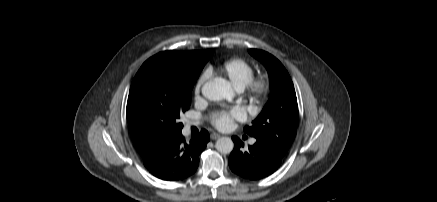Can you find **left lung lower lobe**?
<instances>
[{"instance_id":"left-lung-lower-lobe-1","label":"left lung lower lobe","mask_w":437,"mask_h":202,"mask_svg":"<svg viewBox=\"0 0 437 202\" xmlns=\"http://www.w3.org/2000/svg\"><path fill=\"white\" fill-rule=\"evenodd\" d=\"M234 149L228 159L230 169L242 178L259 180L274 173L283 157L268 145L256 141L248 149L238 137H232Z\"/></svg>"}]
</instances>
